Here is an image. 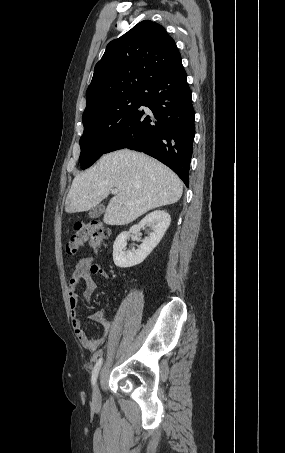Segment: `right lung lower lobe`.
<instances>
[{"mask_svg": "<svg viewBox=\"0 0 285 453\" xmlns=\"http://www.w3.org/2000/svg\"><path fill=\"white\" fill-rule=\"evenodd\" d=\"M142 105L152 114L146 115ZM194 117L181 62L146 85L138 108L106 153L123 148L144 152L171 168L188 187Z\"/></svg>", "mask_w": 285, "mask_h": 453, "instance_id": "1", "label": "right lung lower lobe"}]
</instances>
